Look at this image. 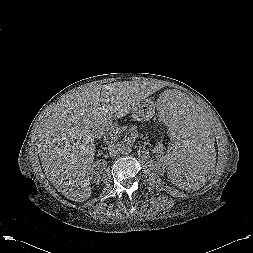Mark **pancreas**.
I'll use <instances>...</instances> for the list:
<instances>
[{
  "label": "pancreas",
  "instance_id": "obj_1",
  "mask_svg": "<svg viewBox=\"0 0 253 253\" xmlns=\"http://www.w3.org/2000/svg\"><path fill=\"white\" fill-rule=\"evenodd\" d=\"M100 133L98 135H104L106 141H116L121 133L120 128L115 126L112 127H102L99 129Z\"/></svg>",
  "mask_w": 253,
  "mask_h": 253
}]
</instances>
